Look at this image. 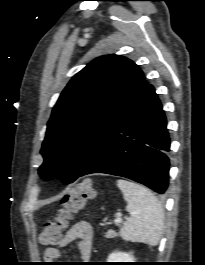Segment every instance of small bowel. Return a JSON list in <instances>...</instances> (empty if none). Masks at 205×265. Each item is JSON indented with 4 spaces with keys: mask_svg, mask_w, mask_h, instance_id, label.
<instances>
[{
    "mask_svg": "<svg viewBox=\"0 0 205 265\" xmlns=\"http://www.w3.org/2000/svg\"><path fill=\"white\" fill-rule=\"evenodd\" d=\"M78 241V250L81 259L88 260L93 246V229L86 221L76 222L61 238L57 247H49L44 252V259L53 262L61 257V248Z\"/></svg>",
    "mask_w": 205,
    "mask_h": 265,
    "instance_id": "small-bowel-1",
    "label": "small bowel"
}]
</instances>
